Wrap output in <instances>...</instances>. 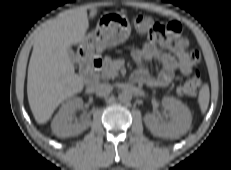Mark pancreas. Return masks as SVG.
I'll list each match as a JSON object with an SVG mask.
<instances>
[{"mask_svg":"<svg viewBox=\"0 0 231 170\" xmlns=\"http://www.w3.org/2000/svg\"><path fill=\"white\" fill-rule=\"evenodd\" d=\"M118 76V70L115 68V61L110 57L104 58V65L101 72L102 79H114Z\"/></svg>","mask_w":231,"mask_h":170,"instance_id":"1","label":"pancreas"}]
</instances>
